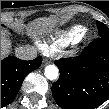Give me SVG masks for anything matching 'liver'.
Instances as JSON below:
<instances>
[{
	"instance_id": "6515ba94",
	"label": "liver",
	"mask_w": 109,
	"mask_h": 109,
	"mask_svg": "<svg viewBox=\"0 0 109 109\" xmlns=\"http://www.w3.org/2000/svg\"><path fill=\"white\" fill-rule=\"evenodd\" d=\"M55 17L38 18L30 22L27 26V32L31 36L41 35L50 31L56 24ZM11 42L8 35L5 32L1 33V57L4 58L10 53Z\"/></svg>"
}]
</instances>
